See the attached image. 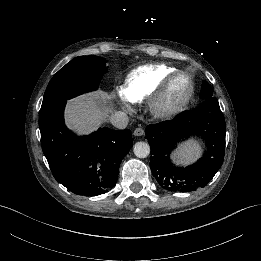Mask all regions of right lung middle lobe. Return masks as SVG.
<instances>
[{"label":"right lung middle lobe","mask_w":261,"mask_h":261,"mask_svg":"<svg viewBox=\"0 0 261 261\" xmlns=\"http://www.w3.org/2000/svg\"><path fill=\"white\" fill-rule=\"evenodd\" d=\"M106 62L98 56H80L71 60L52 77L41 107L96 90L102 75L107 72Z\"/></svg>","instance_id":"right-lung-middle-lobe-1"}]
</instances>
